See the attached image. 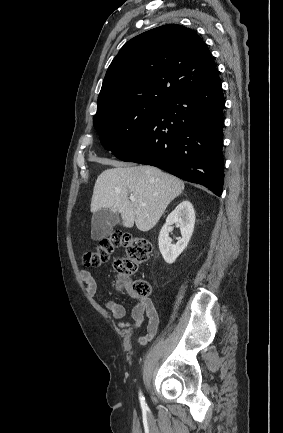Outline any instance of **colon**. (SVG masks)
<instances>
[{
	"mask_svg": "<svg viewBox=\"0 0 283 433\" xmlns=\"http://www.w3.org/2000/svg\"><path fill=\"white\" fill-rule=\"evenodd\" d=\"M124 248L126 255L114 261V269L120 278L134 274L139 266L151 256L152 245L145 238L133 236L123 231H115L110 236L98 241L96 247L83 254V263L87 267H101L111 260L115 249ZM131 290L140 297H148L150 284L145 280H135Z\"/></svg>",
	"mask_w": 283,
	"mask_h": 433,
	"instance_id": "colon-1",
	"label": "colon"
}]
</instances>
